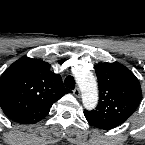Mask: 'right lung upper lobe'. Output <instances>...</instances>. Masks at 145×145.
Listing matches in <instances>:
<instances>
[{
  "label": "right lung upper lobe",
  "instance_id": "1",
  "mask_svg": "<svg viewBox=\"0 0 145 145\" xmlns=\"http://www.w3.org/2000/svg\"><path fill=\"white\" fill-rule=\"evenodd\" d=\"M50 64L28 57L14 62L0 77V107L12 120L34 124L66 93L59 74Z\"/></svg>",
  "mask_w": 145,
  "mask_h": 145
}]
</instances>
